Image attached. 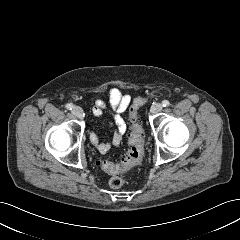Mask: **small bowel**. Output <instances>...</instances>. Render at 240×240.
<instances>
[{
  "label": "small bowel",
  "mask_w": 240,
  "mask_h": 240,
  "mask_svg": "<svg viewBox=\"0 0 240 240\" xmlns=\"http://www.w3.org/2000/svg\"><path fill=\"white\" fill-rule=\"evenodd\" d=\"M131 97L128 94L123 93L118 87H111L109 90V105L113 111V118L111 124L114 125V132L112 137L107 142H102L96 133L89 135L90 142L96 147V149L106 154L112 147L119 146L122 143L123 136L126 132L127 125L122 114L127 110L130 105ZM106 109V103L97 99L93 106V115L95 117H101Z\"/></svg>",
  "instance_id": "1"
}]
</instances>
